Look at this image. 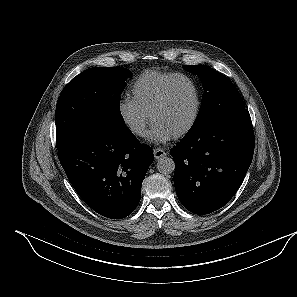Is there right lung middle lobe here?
Segmentation results:
<instances>
[{
	"instance_id": "1",
	"label": "right lung middle lobe",
	"mask_w": 297,
	"mask_h": 297,
	"mask_svg": "<svg viewBox=\"0 0 297 297\" xmlns=\"http://www.w3.org/2000/svg\"><path fill=\"white\" fill-rule=\"evenodd\" d=\"M131 75L122 67H93L64 87L55 111L58 151L89 124L125 125L119 102L125 80Z\"/></svg>"
}]
</instances>
